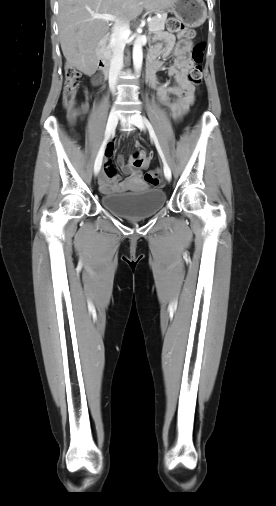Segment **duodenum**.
<instances>
[{"label": "duodenum", "instance_id": "obj_1", "mask_svg": "<svg viewBox=\"0 0 276 506\" xmlns=\"http://www.w3.org/2000/svg\"><path fill=\"white\" fill-rule=\"evenodd\" d=\"M108 39H109L108 36L102 38L97 48V68L99 72L102 73L103 75H108L110 71V59L106 52V45ZM147 61H149V58H147ZM147 74H148V67L146 76Z\"/></svg>", "mask_w": 276, "mask_h": 506}]
</instances>
